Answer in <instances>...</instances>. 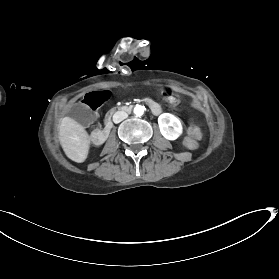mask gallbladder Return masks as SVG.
I'll list each match as a JSON object with an SVG mask.
<instances>
[{
    "mask_svg": "<svg viewBox=\"0 0 279 279\" xmlns=\"http://www.w3.org/2000/svg\"><path fill=\"white\" fill-rule=\"evenodd\" d=\"M61 113L64 116L71 115V118L74 121H77L81 126H88L91 123V116L89 115L87 108L83 105H76L73 110L69 107H64L62 108Z\"/></svg>",
    "mask_w": 279,
    "mask_h": 279,
    "instance_id": "obj_1",
    "label": "gallbladder"
}]
</instances>
